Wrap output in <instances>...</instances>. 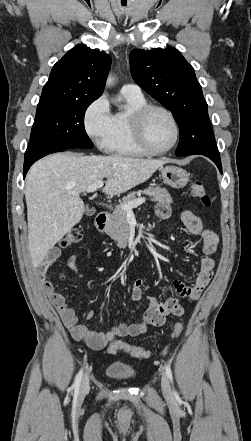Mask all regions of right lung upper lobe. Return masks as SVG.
<instances>
[{
	"mask_svg": "<svg viewBox=\"0 0 251 441\" xmlns=\"http://www.w3.org/2000/svg\"><path fill=\"white\" fill-rule=\"evenodd\" d=\"M110 66L111 57L105 52L75 46L53 66L39 102L100 97Z\"/></svg>",
	"mask_w": 251,
	"mask_h": 441,
	"instance_id": "obj_1",
	"label": "right lung upper lobe"
}]
</instances>
